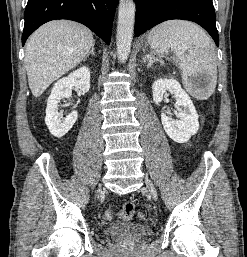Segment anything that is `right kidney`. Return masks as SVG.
Listing matches in <instances>:
<instances>
[{"mask_svg":"<svg viewBox=\"0 0 247 257\" xmlns=\"http://www.w3.org/2000/svg\"><path fill=\"white\" fill-rule=\"evenodd\" d=\"M77 87L84 93L90 89V70L88 67L83 66L67 77L58 80L47 100L46 117L45 123L50 133L57 137H63L73 127L77 120V111H72L66 118L61 122L60 115L58 113V103L62 98H69L72 95V88Z\"/></svg>","mask_w":247,"mask_h":257,"instance_id":"obj_1","label":"right kidney"}]
</instances>
